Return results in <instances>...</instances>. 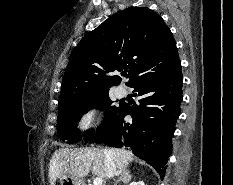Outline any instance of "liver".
<instances>
[{
    "instance_id": "1",
    "label": "liver",
    "mask_w": 233,
    "mask_h": 185,
    "mask_svg": "<svg viewBox=\"0 0 233 185\" xmlns=\"http://www.w3.org/2000/svg\"><path fill=\"white\" fill-rule=\"evenodd\" d=\"M104 152H108L112 156L116 168L119 169L117 173L126 169L134 159L133 154L124 148H60L54 152L50 159L48 175L50 184L54 185L57 178L65 174L82 179L91 171L97 177H106Z\"/></svg>"
}]
</instances>
